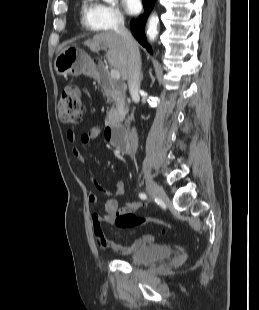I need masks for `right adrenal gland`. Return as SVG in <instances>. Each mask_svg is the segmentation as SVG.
Returning a JSON list of instances; mask_svg holds the SVG:
<instances>
[{
  "instance_id": "1",
  "label": "right adrenal gland",
  "mask_w": 259,
  "mask_h": 310,
  "mask_svg": "<svg viewBox=\"0 0 259 310\" xmlns=\"http://www.w3.org/2000/svg\"><path fill=\"white\" fill-rule=\"evenodd\" d=\"M141 80H143V73H141Z\"/></svg>"
}]
</instances>
